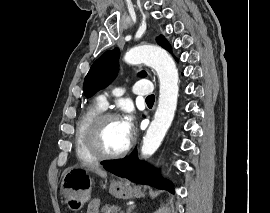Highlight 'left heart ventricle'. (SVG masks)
Segmentation results:
<instances>
[{
	"label": "left heart ventricle",
	"instance_id": "b2bd125f",
	"mask_svg": "<svg viewBox=\"0 0 270 213\" xmlns=\"http://www.w3.org/2000/svg\"><path fill=\"white\" fill-rule=\"evenodd\" d=\"M128 143L120 120H109L104 124L99 137V144L104 152L108 154L120 152Z\"/></svg>",
	"mask_w": 270,
	"mask_h": 213
}]
</instances>
